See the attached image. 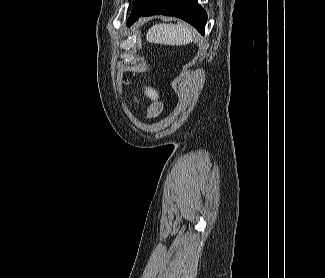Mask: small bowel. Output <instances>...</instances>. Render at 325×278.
I'll list each match as a JSON object with an SVG mask.
<instances>
[{"instance_id": "1", "label": "small bowel", "mask_w": 325, "mask_h": 278, "mask_svg": "<svg viewBox=\"0 0 325 278\" xmlns=\"http://www.w3.org/2000/svg\"><path fill=\"white\" fill-rule=\"evenodd\" d=\"M160 109L161 108L158 105L151 106L149 108V110H148V116L149 117H155V116H157L159 114V112H160Z\"/></svg>"}]
</instances>
